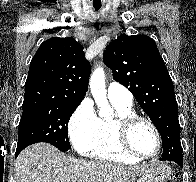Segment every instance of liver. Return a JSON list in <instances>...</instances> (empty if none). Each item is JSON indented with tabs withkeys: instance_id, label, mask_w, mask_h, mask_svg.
Wrapping results in <instances>:
<instances>
[{
	"instance_id": "1",
	"label": "liver",
	"mask_w": 196,
	"mask_h": 182,
	"mask_svg": "<svg viewBox=\"0 0 196 182\" xmlns=\"http://www.w3.org/2000/svg\"><path fill=\"white\" fill-rule=\"evenodd\" d=\"M139 170L68 157L47 143L25 148L15 163L16 182H125Z\"/></svg>"
}]
</instances>
